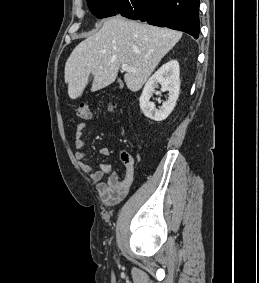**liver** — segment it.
<instances>
[{"label":"liver","instance_id":"liver-1","mask_svg":"<svg viewBox=\"0 0 259 283\" xmlns=\"http://www.w3.org/2000/svg\"><path fill=\"white\" fill-rule=\"evenodd\" d=\"M182 33L121 16L107 19L94 35L79 43L66 61L64 77L68 95L76 99L83 93L90 75L91 91L113 83L123 64L136 69L124 81L133 92L142 88L161 59L175 46Z\"/></svg>","mask_w":259,"mask_h":283}]
</instances>
